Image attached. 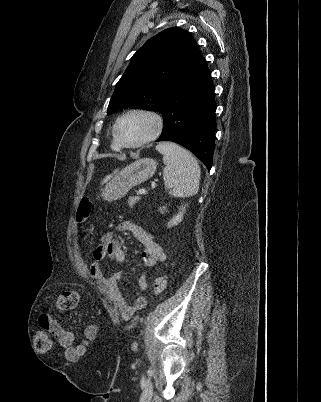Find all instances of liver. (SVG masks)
<instances>
[{"label": "liver", "instance_id": "6515ba94", "mask_svg": "<svg viewBox=\"0 0 321 402\" xmlns=\"http://www.w3.org/2000/svg\"><path fill=\"white\" fill-rule=\"evenodd\" d=\"M116 172H117V170H115L114 173H116ZM109 178H110V176H107L106 179H105V181H107Z\"/></svg>", "mask_w": 321, "mask_h": 402}]
</instances>
